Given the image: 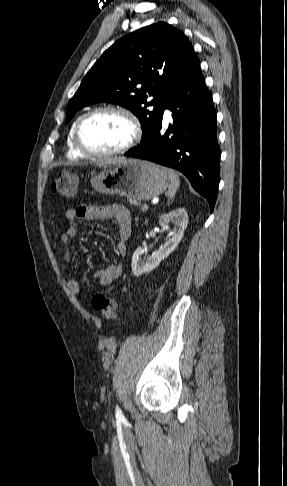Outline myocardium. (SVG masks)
<instances>
[{
    "mask_svg": "<svg viewBox=\"0 0 287 486\" xmlns=\"http://www.w3.org/2000/svg\"><path fill=\"white\" fill-rule=\"evenodd\" d=\"M103 113H116L123 116L130 124L131 136L123 146L117 149L111 151H105V152H98V151H93L88 149L83 144L81 139V130L87 120H89L90 118L96 115L103 114ZM141 136H142L141 125L137 117L128 109L121 106H115V105L99 107L85 113L78 119L73 131V141L76 149L86 157L99 158V159L110 158L128 152L140 141Z\"/></svg>",
    "mask_w": 287,
    "mask_h": 486,
    "instance_id": "1",
    "label": "myocardium"
}]
</instances>
